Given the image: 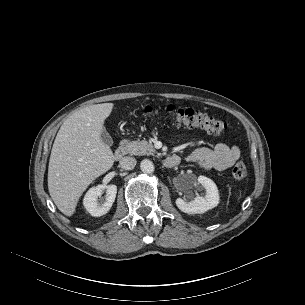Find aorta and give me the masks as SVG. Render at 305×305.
<instances>
[{
	"mask_svg": "<svg viewBox=\"0 0 305 305\" xmlns=\"http://www.w3.org/2000/svg\"><path fill=\"white\" fill-rule=\"evenodd\" d=\"M140 168L144 173H152L155 169L153 162L148 159L141 161Z\"/></svg>",
	"mask_w": 305,
	"mask_h": 305,
	"instance_id": "1",
	"label": "aorta"
}]
</instances>
